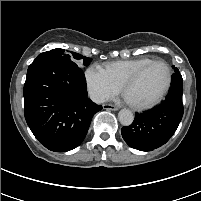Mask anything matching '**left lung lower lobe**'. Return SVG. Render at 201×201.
<instances>
[{
	"mask_svg": "<svg viewBox=\"0 0 201 201\" xmlns=\"http://www.w3.org/2000/svg\"><path fill=\"white\" fill-rule=\"evenodd\" d=\"M172 75L166 99L157 107L136 113L130 126L121 130L125 142L140 151H151L164 145L175 133L183 116L182 76L177 68Z\"/></svg>",
	"mask_w": 201,
	"mask_h": 201,
	"instance_id": "obj_1",
	"label": "left lung lower lobe"
}]
</instances>
